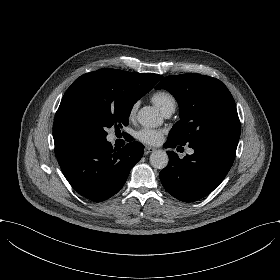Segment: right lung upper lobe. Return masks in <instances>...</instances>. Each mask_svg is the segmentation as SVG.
Segmentation results:
<instances>
[{
	"mask_svg": "<svg viewBox=\"0 0 280 280\" xmlns=\"http://www.w3.org/2000/svg\"><path fill=\"white\" fill-rule=\"evenodd\" d=\"M101 73L109 74L113 82L112 91L132 104H135L163 77L153 73H131L116 69H100L80 76L66 91L54 118L53 137L56 156L73 146L88 141L85 135L72 125L68 114L70 105L76 101L71 89L77 83L86 82L92 76Z\"/></svg>",
	"mask_w": 280,
	"mask_h": 280,
	"instance_id": "obj_1",
	"label": "right lung upper lobe"
}]
</instances>
